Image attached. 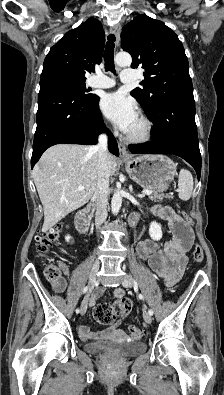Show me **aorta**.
<instances>
[{
  "instance_id": "obj_1",
  "label": "aorta",
  "mask_w": 224,
  "mask_h": 395,
  "mask_svg": "<svg viewBox=\"0 0 224 395\" xmlns=\"http://www.w3.org/2000/svg\"><path fill=\"white\" fill-rule=\"evenodd\" d=\"M115 62L120 67H129L132 63V58L128 53H118L115 57ZM122 203V197L119 192H115L111 200V211L116 215Z\"/></svg>"
}]
</instances>
